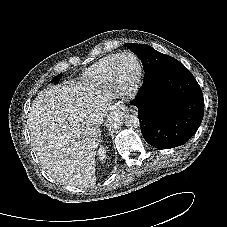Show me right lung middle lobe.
Returning <instances> with one entry per match:
<instances>
[{
  "label": "right lung middle lobe",
  "instance_id": "dd1d6c3e",
  "mask_svg": "<svg viewBox=\"0 0 227 227\" xmlns=\"http://www.w3.org/2000/svg\"><path fill=\"white\" fill-rule=\"evenodd\" d=\"M61 77H62V74H59L56 77H54L51 82H54L55 84H57L60 81Z\"/></svg>",
  "mask_w": 227,
  "mask_h": 227
}]
</instances>
